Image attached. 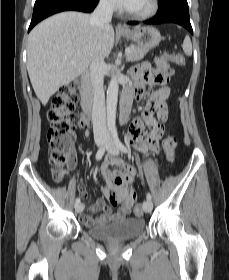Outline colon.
<instances>
[{
    "instance_id": "colon-1",
    "label": "colon",
    "mask_w": 229,
    "mask_h": 280,
    "mask_svg": "<svg viewBox=\"0 0 229 280\" xmlns=\"http://www.w3.org/2000/svg\"><path fill=\"white\" fill-rule=\"evenodd\" d=\"M185 56L182 53L166 52L159 61L157 67L153 70L154 79L157 83H168L173 75L170 63L185 65ZM79 81L72 86L62 87L59 92L52 98V106L49 111V128L47 130V142L50 146V162L56 168L55 180L59 181L64 174V167L73 151V134L78 122V117L74 112L75 102L77 100V87ZM177 139L175 135H167L162 147L166 158L172 161L175 156ZM123 178L115 177L116 183H122ZM135 199V194L133 195ZM117 195L112 193L109 197L110 203H116ZM136 215H142V208L137 205L134 208Z\"/></svg>"
}]
</instances>
